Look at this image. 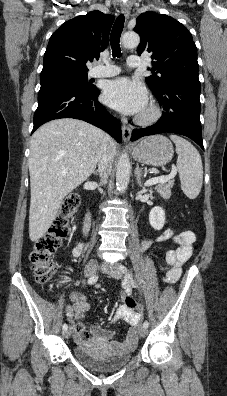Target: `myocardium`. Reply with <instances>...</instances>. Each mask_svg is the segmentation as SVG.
Here are the masks:
<instances>
[{
  "mask_svg": "<svg viewBox=\"0 0 227 396\" xmlns=\"http://www.w3.org/2000/svg\"><path fill=\"white\" fill-rule=\"evenodd\" d=\"M162 115L161 109L154 103H151L147 108L137 117L136 121L140 125H151L157 122Z\"/></svg>",
  "mask_w": 227,
  "mask_h": 396,
  "instance_id": "obj_1",
  "label": "myocardium"
}]
</instances>
